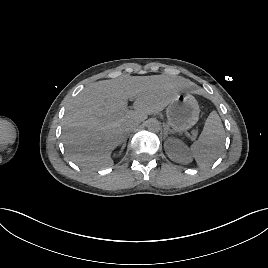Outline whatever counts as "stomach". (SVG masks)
<instances>
[{
	"label": "stomach",
	"instance_id": "0dacf381",
	"mask_svg": "<svg viewBox=\"0 0 268 268\" xmlns=\"http://www.w3.org/2000/svg\"><path fill=\"white\" fill-rule=\"evenodd\" d=\"M199 114L198 102L188 92L178 94L166 110L168 125L179 134L192 128L197 123Z\"/></svg>",
	"mask_w": 268,
	"mask_h": 268
}]
</instances>
